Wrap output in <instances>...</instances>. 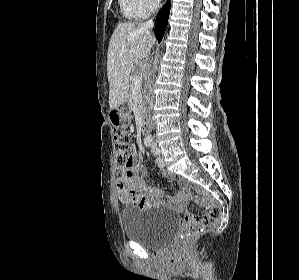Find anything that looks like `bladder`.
I'll use <instances>...</instances> for the list:
<instances>
[{"instance_id":"bladder-1","label":"bladder","mask_w":299,"mask_h":280,"mask_svg":"<svg viewBox=\"0 0 299 280\" xmlns=\"http://www.w3.org/2000/svg\"><path fill=\"white\" fill-rule=\"evenodd\" d=\"M178 223L175 213L160 206L128 210L123 215L126 238L152 249L167 246Z\"/></svg>"}]
</instances>
